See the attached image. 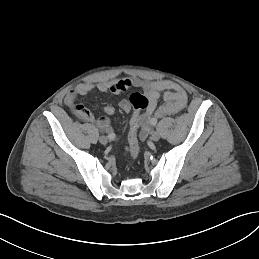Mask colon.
Returning <instances> with one entry per match:
<instances>
[{"mask_svg":"<svg viewBox=\"0 0 259 259\" xmlns=\"http://www.w3.org/2000/svg\"><path fill=\"white\" fill-rule=\"evenodd\" d=\"M129 102L133 109V113L130 120V129L128 134V150L130 156L133 159H136L139 155L138 129L140 127V118L142 111L148 108L149 101L145 94L137 92L130 96ZM77 113L82 118L83 112L81 110H77Z\"/></svg>","mask_w":259,"mask_h":259,"instance_id":"obj_1","label":"colon"}]
</instances>
